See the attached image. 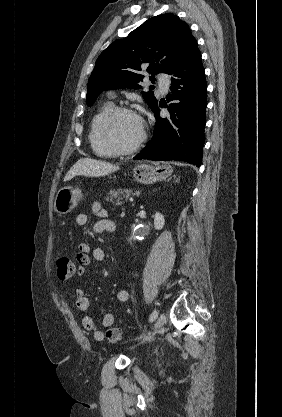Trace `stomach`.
<instances>
[{"instance_id": "0dacf381", "label": "stomach", "mask_w": 282, "mask_h": 417, "mask_svg": "<svg viewBox=\"0 0 282 417\" xmlns=\"http://www.w3.org/2000/svg\"><path fill=\"white\" fill-rule=\"evenodd\" d=\"M172 166L169 164H137L133 168L135 180L142 184H152L156 180H164L170 176ZM83 198V192L78 186H63L55 196L54 209L59 215H66L75 209L79 200Z\"/></svg>"}]
</instances>
